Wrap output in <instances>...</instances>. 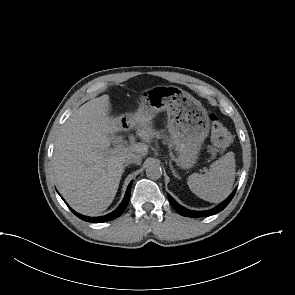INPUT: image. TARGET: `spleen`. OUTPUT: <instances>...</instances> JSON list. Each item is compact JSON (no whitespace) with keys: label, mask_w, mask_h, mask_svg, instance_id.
I'll return each mask as SVG.
<instances>
[{"label":"spleen","mask_w":295,"mask_h":295,"mask_svg":"<svg viewBox=\"0 0 295 295\" xmlns=\"http://www.w3.org/2000/svg\"><path fill=\"white\" fill-rule=\"evenodd\" d=\"M235 167L234 153L228 152L213 162L207 173L191 174L187 184L199 198L212 203L221 202L231 193Z\"/></svg>","instance_id":"3e777b00"}]
</instances>
